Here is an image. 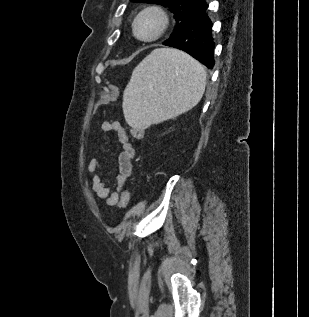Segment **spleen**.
<instances>
[{
  "label": "spleen",
  "instance_id": "obj_1",
  "mask_svg": "<svg viewBox=\"0 0 309 317\" xmlns=\"http://www.w3.org/2000/svg\"><path fill=\"white\" fill-rule=\"evenodd\" d=\"M207 74L198 61L171 48H157L133 70L123 94V113L133 127L146 128L195 107Z\"/></svg>",
  "mask_w": 309,
  "mask_h": 317
}]
</instances>
